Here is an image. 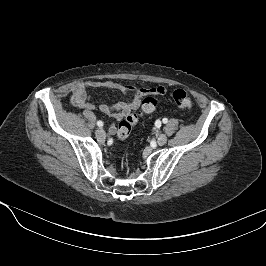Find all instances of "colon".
<instances>
[{
  "label": "colon",
  "mask_w": 266,
  "mask_h": 266,
  "mask_svg": "<svg viewBox=\"0 0 266 266\" xmlns=\"http://www.w3.org/2000/svg\"><path fill=\"white\" fill-rule=\"evenodd\" d=\"M174 103L183 110H189L193 107V100L183 89H176L172 93ZM158 101L152 96H147L142 100V109L138 113L127 116L120 122L117 135L120 139H126L131 134L133 127L137 124L140 117L152 113L157 107Z\"/></svg>",
  "instance_id": "5ec220e1"
}]
</instances>
